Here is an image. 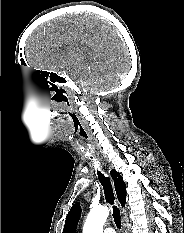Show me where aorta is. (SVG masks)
Returning a JSON list of instances; mask_svg holds the SVG:
<instances>
[{"label": "aorta", "mask_w": 184, "mask_h": 233, "mask_svg": "<svg viewBox=\"0 0 184 233\" xmlns=\"http://www.w3.org/2000/svg\"><path fill=\"white\" fill-rule=\"evenodd\" d=\"M109 216V209L106 206L90 210L83 227V233H103V226Z\"/></svg>", "instance_id": "aorta-1"}]
</instances>
